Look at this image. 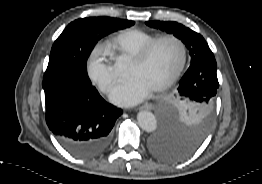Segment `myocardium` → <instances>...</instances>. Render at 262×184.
Listing matches in <instances>:
<instances>
[{
  "label": "myocardium",
  "instance_id": "1",
  "mask_svg": "<svg viewBox=\"0 0 262 184\" xmlns=\"http://www.w3.org/2000/svg\"><path fill=\"white\" fill-rule=\"evenodd\" d=\"M166 40H172L180 46L181 51H182V58H181L179 66L177 67L175 72L166 81H164L162 84L153 88L152 89L153 92L164 91V90L168 89L170 86H172L178 80V78L180 77V75L182 74V72H183V70L186 66L187 59H188V50H187L186 43L181 38H179L178 36L163 35V36L156 38L152 42H150L148 45H146L143 49H141L131 59V61L134 62L135 64L144 63L150 57L151 53L156 48V46L158 44H160L161 42L166 41Z\"/></svg>",
  "mask_w": 262,
  "mask_h": 184
}]
</instances>
